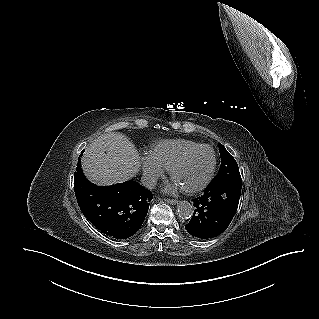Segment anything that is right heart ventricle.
I'll use <instances>...</instances> for the list:
<instances>
[{
  "label": "right heart ventricle",
  "mask_w": 319,
  "mask_h": 319,
  "mask_svg": "<svg viewBox=\"0 0 319 319\" xmlns=\"http://www.w3.org/2000/svg\"><path fill=\"white\" fill-rule=\"evenodd\" d=\"M197 145L198 142L188 139H164L152 144L149 155L164 170H169L185 151Z\"/></svg>",
  "instance_id": "obj_1"
}]
</instances>
